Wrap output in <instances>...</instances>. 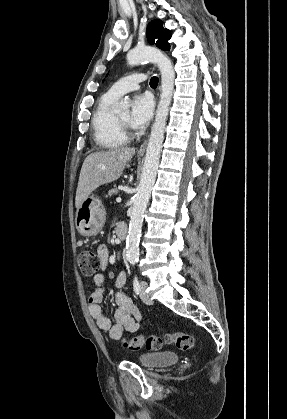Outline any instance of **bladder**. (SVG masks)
<instances>
[{
	"label": "bladder",
	"instance_id": "1",
	"mask_svg": "<svg viewBox=\"0 0 287 419\" xmlns=\"http://www.w3.org/2000/svg\"><path fill=\"white\" fill-rule=\"evenodd\" d=\"M138 361L146 368H158L175 364L178 361V357L171 352H158L144 354L138 358Z\"/></svg>",
	"mask_w": 287,
	"mask_h": 419
}]
</instances>
